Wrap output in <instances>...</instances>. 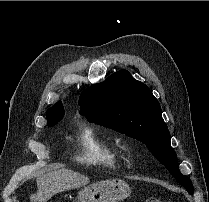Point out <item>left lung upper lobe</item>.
<instances>
[{
    "instance_id": "5c2ea615",
    "label": "left lung upper lobe",
    "mask_w": 209,
    "mask_h": 202,
    "mask_svg": "<svg viewBox=\"0 0 209 202\" xmlns=\"http://www.w3.org/2000/svg\"><path fill=\"white\" fill-rule=\"evenodd\" d=\"M79 105L80 114L88 121L144 143L189 194H193L191 180L179 171L160 104L145 84L135 80L127 70H120L84 90Z\"/></svg>"
}]
</instances>
